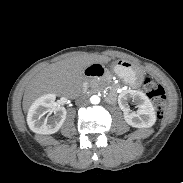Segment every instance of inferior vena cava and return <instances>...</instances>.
Returning a JSON list of instances; mask_svg holds the SVG:
<instances>
[{
    "label": "inferior vena cava",
    "mask_w": 183,
    "mask_h": 183,
    "mask_svg": "<svg viewBox=\"0 0 183 183\" xmlns=\"http://www.w3.org/2000/svg\"><path fill=\"white\" fill-rule=\"evenodd\" d=\"M89 104V99L83 95V96H80L76 99V105L78 106H86Z\"/></svg>",
    "instance_id": "obj_1"
}]
</instances>
